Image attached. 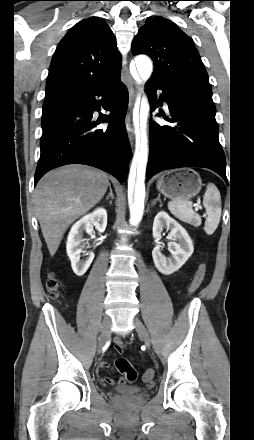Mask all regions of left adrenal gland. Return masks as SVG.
<instances>
[{"label":"left adrenal gland","mask_w":254,"mask_h":440,"mask_svg":"<svg viewBox=\"0 0 254 440\" xmlns=\"http://www.w3.org/2000/svg\"><path fill=\"white\" fill-rule=\"evenodd\" d=\"M157 201H159V202H160V206H162V201H161V199H160V194L158 195V197H157L156 199H154V200L152 201V205H155Z\"/></svg>","instance_id":"left-adrenal-gland-1"}]
</instances>
